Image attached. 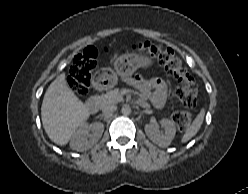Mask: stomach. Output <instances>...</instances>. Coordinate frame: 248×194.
<instances>
[{
  "label": "stomach",
  "instance_id": "0dacf381",
  "mask_svg": "<svg viewBox=\"0 0 248 194\" xmlns=\"http://www.w3.org/2000/svg\"><path fill=\"white\" fill-rule=\"evenodd\" d=\"M153 65V61L146 56L138 54H123L114 61V71L103 72V81L107 87L114 86L118 81V76L128 77L139 68H148Z\"/></svg>",
  "mask_w": 248,
  "mask_h": 194
}]
</instances>
